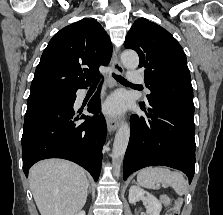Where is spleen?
<instances>
[{
	"instance_id": "obj_1",
	"label": "spleen",
	"mask_w": 223,
	"mask_h": 215,
	"mask_svg": "<svg viewBox=\"0 0 223 215\" xmlns=\"http://www.w3.org/2000/svg\"><path fill=\"white\" fill-rule=\"evenodd\" d=\"M137 181L143 187L159 189L160 183H162L163 187H167V185L174 187L178 195L186 193L187 183L181 171H170L167 167H144L139 171Z\"/></svg>"
}]
</instances>
